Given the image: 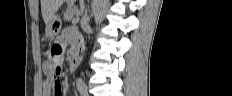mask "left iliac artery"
Here are the masks:
<instances>
[{"label": "left iliac artery", "mask_w": 232, "mask_h": 96, "mask_svg": "<svg viewBox=\"0 0 232 96\" xmlns=\"http://www.w3.org/2000/svg\"><path fill=\"white\" fill-rule=\"evenodd\" d=\"M79 91H80L81 95H83V96L88 95L87 87L84 84L80 86Z\"/></svg>", "instance_id": "1"}]
</instances>
